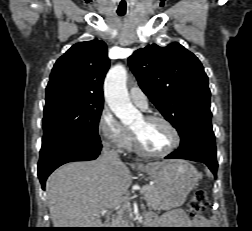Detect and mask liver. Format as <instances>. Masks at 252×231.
I'll return each instance as SVG.
<instances>
[{"label":"liver","instance_id":"obj_1","mask_svg":"<svg viewBox=\"0 0 252 231\" xmlns=\"http://www.w3.org/2000/svg\"><path fill=\"white\" fill-rule=\"evenodd\" d=\"M152 162L150 166H159ZM132 179L123 163L105 166L100 158L72 162L54 171L46 183L48 207L55 228H101L103 212L116 207Z\"/></svg>","mask_w":252,"mask_h":231}]
</instances>
